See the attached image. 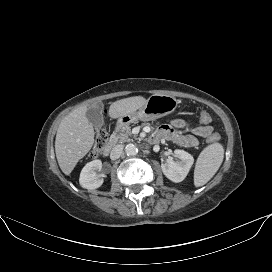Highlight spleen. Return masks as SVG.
Wrapping results in <instances>:
<instances>
[{
  "instance_id": "obj_1",
  "label": "spleen",
  "mask_w": 272,
  "mask_h": 272,
  "mask_svg": "<svg viewBox=\"0 0 272 272\" xmlns=\"http://www.w3.org/2000/svg\"><path fill=\"white\" fill-rule=\"evenodd\" d=\"M224 158V149L220 143L207 146L199 155L194 170V184L199 187L206 184L218 171Z\"/></svg>"
}]
</instances>
